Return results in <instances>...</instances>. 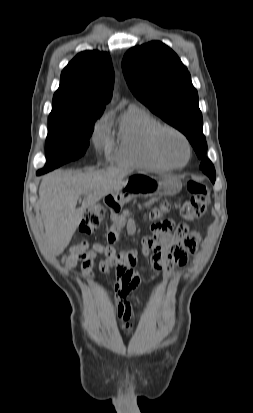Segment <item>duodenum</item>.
Instances as JSON below:
<instances>
[{"instance_id": "1", "label": "duodenum", "mask_w": 253, "mask_h": 413, "mask_svg": "<svg viewBox=\"0 0 253 413\" xmlns=\"http://www.w3.org/2000/svg\"><path fill=\"white\" fill-rule=\"evenodd\" d=\"M110 205H112V204L110 203ZM108 238H109L110 243H115L118 240L117 232L111 231L108 235Z\"/></svg>"}]
</instances>
